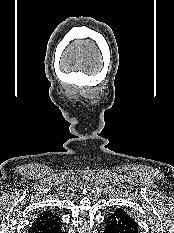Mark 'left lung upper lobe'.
Returning <instances> with one entry per match:
<instances>
[{"mask_svg":"<svg viewBox=\"0 0 174 233\" xmlns=\"http://www.w3.org/2000/svg\"><path fill=\"white\" fill-rule=\"evenodd\" d=\"M116 211L125 213L121 208H120V209H117Z\"/></svg>","mask_w":174,"mask_h":233,"instance_id":"1","label":"left lung upper lobe"}]
</instances>
